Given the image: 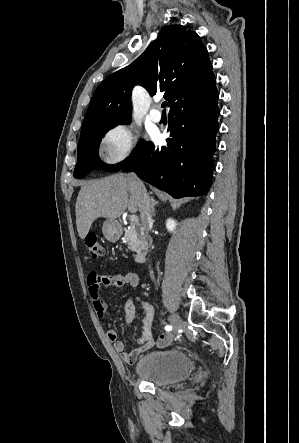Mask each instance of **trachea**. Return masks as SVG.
Segmentation results:
<instances>
[{
    "label": "trachea",
    "instance_id": "3493384b",
    "mask_svg": "<svg viewBox=\"0 0 299 443\" xmlns=\"http://www.w3.org/2000/svg\"><path fill=\"white\" fill-rule=\"evenodd\" d=\"M166 106H167V102H163L161 105V107L164 109V111H165Z\"/></svg>",
    "mask_w": 299,
    "mask_h": 443
}]
</instances>
